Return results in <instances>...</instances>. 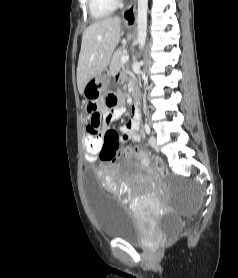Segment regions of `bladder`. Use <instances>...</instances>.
<instances>
[{"label": "bladder", "mask_w": 238, "mask_h": 278, "mask_svg": "<svg viewBox=\"0 0 238 278\" xmlns=\"http://www.w3.org/2000/svg\"><path fill=\"white\" fill-rule=\"evenodd\" d=\"M90 173L89 169L85 170ZM84 175V180H95ZM85 190L99 232L107 238L141 243L146 232L142 222L117 197L100 189L99 181H85Z\"/></svg>", "instance_id": "31cf9c89"}]
</instances>
